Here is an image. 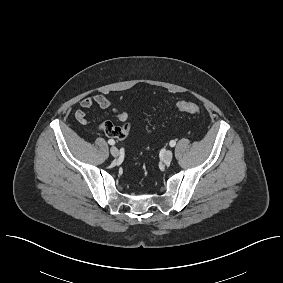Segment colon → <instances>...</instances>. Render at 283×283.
<instances>
[{
  "instance_id": "5ec220e1",
  "label": "colon",
  "mask_w": 283,
  "mask_h": 283,
  "mask_svg": "<svg viewBox=\"0 0 283 283\" xmlns=\"http://www.w3.org/2000/svg\"><path fill=\"white\" fill-rule=\"evenodd\" d=\"M176 109L179 111V112H183V113H188V114H199L201 109L200 107L193 103V102H187V101H181V102H178L176 104ZM99 130L108 135V136H111V137H117L118 134H119V128L118 126H114L112 123L110 122H105V123H102L100 126H99Z\"/></svg>"
}]
</instances>
